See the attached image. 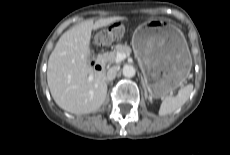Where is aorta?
Here are the masks:
<instances>
[{"mask_svg": "<svg viewBox=\"0 0 230 155\" xmlns=\"http://www.w3.org/2000/svg\"><path fill=\"white\" fill-rule=\"evenodd\" d=\"M123 76L131 78L135 76V68L132 65H125L122 70Z\"/></svg>", "mask_w": 230, "mask_h": 155, "instance_id": "aorta-1", "label": "aorta"}]
</instances>
